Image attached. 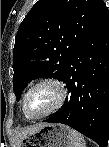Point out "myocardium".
Masks as SVG:
<instances>
[{
  "label": "myocardium",
  "instance_id": "f54148a6",
  "mask_svg": "<svg viewBox=\"0 0 109 147\" xmlns=\"http://www.w3.org/2000/svg\"><path fill=\"white\" fill-rule=\"evenodd\" d=\"M45 85H50V86L55 87L56 90L58 91V98H57V101L55 102V104L50 109L43 112L42 114L35 115L28 110L27 100H28L30 94L35 89H37L41 86H45ZM66 98H67V87H66L65 83L56 77H47V78L40 80L39 82H37L33 86H31L29 88V90L26 92V94L24 95V98H23V102H22L23 111L25 112L26 115H28L29 117L34 118V119H40L43 117H47V116L57 112L64 105Z\"/></svg>",
  "mask_w": 109,
  "mask_h": 147
}]
</instances>
